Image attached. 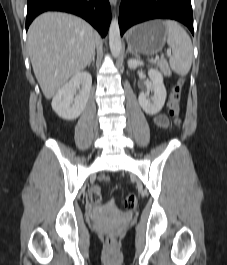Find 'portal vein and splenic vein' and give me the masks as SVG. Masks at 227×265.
<instances>
[{"label": "portal vein and splenic vein", "mask_w": 227, "mask_h": 265, "mask_svg": "<svg viewBox=\"0 0 227 265\" xmlns=\"http://www.w3.org/2000/svg\"><path fill=\"white\" fill-rule=\"evenodd\" d=\"M167 56H168V57H170V56H171V51H170V50H168V51H167ZM157 60H158V58H155V60H154V61L156 62Z\"/></svg>", "instance_id": "18ae733b"}]
</instances>
